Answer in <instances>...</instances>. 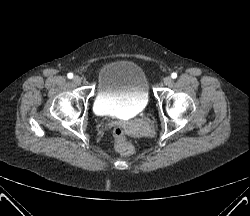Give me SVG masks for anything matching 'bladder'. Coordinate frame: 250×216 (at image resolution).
I'll list each match as a JSON object with an SVG mask.
<instances>
[{
  "label": "bladder",
  "mask_w": 250,
  "mask_h": 216,
  "mask_svg": "<svg viewBox=\"0 0 250 216\" xmlns=\"http://www.w3.org/2000/svg\"><path fill=\"white\" fill-rule=\"evenodd\" d=\"M149 88L143 70L130 61L104 65L97 77L95 110L102 115L137 114L148 104Z\"/></svg>",
  "instance_id": "31cf9c89"
}]
</instances>
